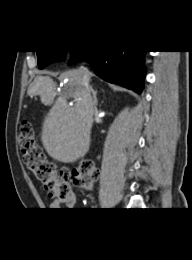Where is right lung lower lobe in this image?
I'll return each mask as SVG.
<instances>
[{"label":"right lung lower lobe","instance_id":"98d812e1","mask_svg":"<svg viewBox=\"0 0 192 260\" xmlns=\"http://www.w3.org/2000/svg\"><path fill=\"white\" fill-rule=\"evenodd\" d=\"M145 51H76L68 64L86 61L102 79L140 94L144 87Z\"/></svg>","mask_w":192,"mask_h":260}]
</instances>
